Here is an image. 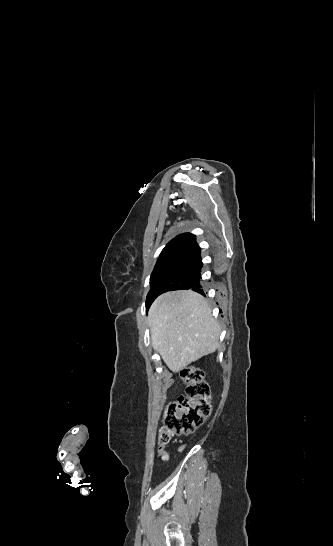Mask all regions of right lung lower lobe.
<instances>
[{
    "instance_id": "98d812e1",
    "label": "right lung lower lobe",
    "mask_w": 333,
    "mask_h": 546,
    "mask_svg": "<svg viewBox=\"0 0 333 546\" xmlns=\"http://www.w3.org/2000/svg\"><path fill=\"white\" fill-rule=\"evenodd\" d=\"M202 266L200 247L186 252L161 276L154 298L146 303V309L148 310L157 296L167 291L192 289L205 295L199 284Z\"/></svg>"
}]
</instances>
